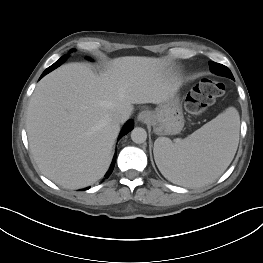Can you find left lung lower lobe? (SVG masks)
Wrapping results in <instances>:
<instances>
[{"label": "left lung lower lobe", "instance_id": "left-lung-lower-lobe-1", "mask_svg": "<svg viewBox=\"0 0 263 263\" xmlns=\"http://www.w3.org/2000/svg\"><path fill=\"white\" fill-rule=\"evenodd\" d=\"M211 71H212V72H215V71H216V69H215L214 67H212V68H211Z\"/></svg>", "mask_w": 263, "mask_h": 263}]
</instances>
